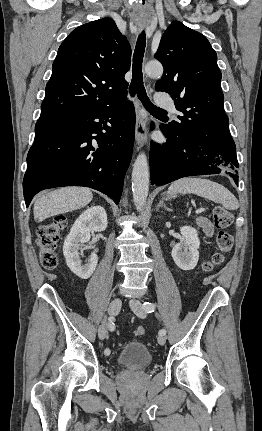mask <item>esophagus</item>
<instances>
[{
	"instance_id": "34e87169",
	"label": "esophagus",
	"mask_w": 262,
	"mask_h": 431,
	"mask_svg": "<svg viewBox=\"0 0 262 431\" xmlns=\"http://www.w3.org/2000/svg\"><path fill=\"white\" fill-rule=\"evenodd\" d=\"M144 25H140L139 29H144ZM136 102V125H135V140L138 147L143 146L147 142V115L145 110L141 107L138 100Z\"/></svg>"
}]
</instances>
